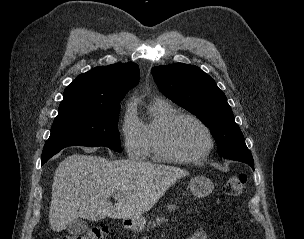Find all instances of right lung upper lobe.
Segmentation results:
<instances>
[{"mask_svg": "<svg viewBox=\"0 0 304 239\" xmlns=\"http://www.w3.org/2000/svg\"><path fill=\"white\" fill-rule=\"evenodd\" d=\"M138 81L139 67L135 63L96 67L65 88L59 112L117 106Z\"/></svg>", "mask_w": 304, "mask_h": 239, "instance_id": "obj_1", "label": "right lung upper lobe"}]
</instances>
